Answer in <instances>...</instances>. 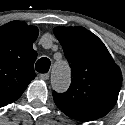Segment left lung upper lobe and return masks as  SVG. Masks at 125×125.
Here are the masks:
<instances>
[{
	"label": "left lung upper lobe",
	"instance_id": "left-lung-upper-lobe-1",
	"mask_svg": "<svg viewBox=\"0 0 125 125\" xmlns=\"http://www.w3.org/2000/svg\"><path fill=\"white\" fill-rule=\"evenodd\" d=\"M71 67L72 81L67 92H53L57 107L67 116L94 120L108 114L117 102L122 85L120 68L103 42L83 27H56Z\"/></svg>",
	"mask_w": 125,
	"mask_h": 125
}]
</instances>
